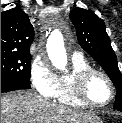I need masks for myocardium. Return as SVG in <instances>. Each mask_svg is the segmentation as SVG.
<instances>
[{"label":"myocardium","mask_w":122,"mask_h":123,"mask_svg":"<svg viewBox=\"0 0 122 123\" xmlns=\"http://www.w3.org/2000/svg\"><path fill=\"white\" fill-rule=\"evenodd\" d=\"M96 76H100L104 78L109 84L110 89H111L110 98L106 102H103V103H97L93 101L88 95L89 83ZM115 93H116L115 85L112 79L106 73L100 70H97L94 68L86 69L80 72L74 79L73 94L76 97V99H78L80 102H82L86 106L96 107V108L104 107L112 102V100L115 97Z\"/></svg>","instance_id":"myocardium-1"}]
</instances>
